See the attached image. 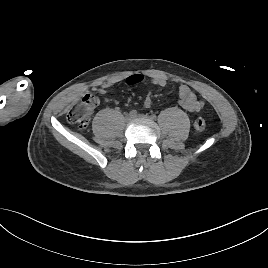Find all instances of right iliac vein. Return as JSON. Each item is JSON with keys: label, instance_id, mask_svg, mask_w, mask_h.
<instances>
[{"label": "right iliac vein", "instance_id": "1", "mask_svg": "<svg viewBox=\"0 0 268 268\" xmlns=\"http://www.w3.org/2000/svg\"><path fill=\"white\" fill-rule=\"evenodd\" d=\"M125 119H126L127 122H129V121H131V120L134 119V116H132L131 114H127V115L125 116Z\"/></svg>", "mask_w": 268, "mask_h": 268}]
</instances>
